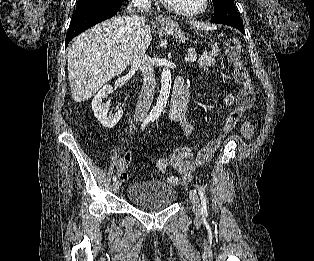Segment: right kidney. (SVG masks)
<instances>
[{
	"label": "right kidney",
	"mask_w": 314,
	"mask_h": 261,
	"mask_svg": "<svg viewBox=\"0 0 314 261\" xmlns=\"http://www.w3.org/2000/svg\"><path fill=\"white\" fill-rule=\"evenodd\" d=\"M110 93H112V86L105 85L92 100V110L95 117L105 128L109 129L113 128L123 115V110L121 108L115 113H108L109 105L103 104V99Z\"/></svg>",
	"instance_id": "1"
}]
</instances>
